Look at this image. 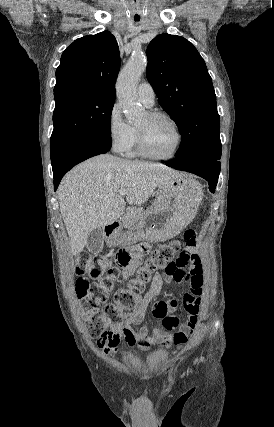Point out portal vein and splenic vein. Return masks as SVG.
<instances>
[{"label": "portal vein and splenic vein", "mask_w": 274, "mask_h": 427, "mask_svg": "<svg viewBox=\"0 0 274 427\" xmlns=\"http://www.w3.org/2000/svg\"><path fill=\"white\" fill-rule=\"evenodd\" d=\"M120 196H126L127 190H118Z\"/></svg>", "instance_id": "portal-vein-and-splenic-vein-1"}]
</instances>
